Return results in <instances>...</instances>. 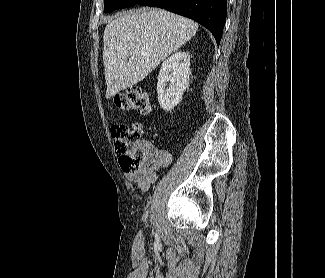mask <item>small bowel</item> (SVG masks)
Listing matches in <instances>:
<instances>
[{
  "mask_svg": "<svg viewBox=\"0 0 325 278\" xmlns=\"http://www.w3.org/2000/svg\"><path fill=\"white\" fill-rule=\"evenodd\" d=\"M150 154L144 161L142 167L135 172H125V177L129 182L137 183L145 193L151 185L158 179L157 170L168 166L172 161L171 154L166 150L157 149L151 143H147Z\"/></svg>",
  "mask_w": 325,
  "mask_h": 278,
  "instance_id": "obj_1",
  "label": "small bowel"
}]
</instances>
